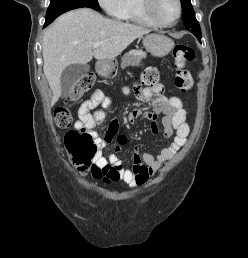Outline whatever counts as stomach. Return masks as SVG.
<instances>
[{"label": "stomach", "instance_id": "1", "mask_svg": "<svg viewBox=\"0 0 248 258\" xmlns=\"http://www.w3.org/2000/svg\"><path fill=\"white\" fill-rule=\"evenodd\" d=\"M145 49L155 57L166 56L174 47V42L167 36L151 34L143 40ZM116 60H103L97 63V71L100 75L110 76L116 69Z\"/></svg>", "mask_w": 248, "mask_h": 258}]
</instances>
